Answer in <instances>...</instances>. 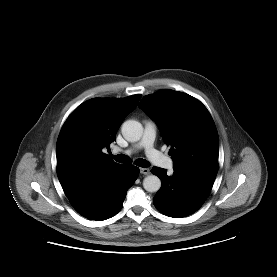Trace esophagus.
<instances>
[{"label":"esophagus","instance_id":"1","mask_svg":"<svg viewBox=\"0 0 277 277\" xmlns=\"http://www.w3.org/2000/svg\"><path fill=\"white\" fill-rule=\"evenodd\" d=\"M140 173H142L144 175H148V174H150V170H149V168H140Z\"/></svg>","mask_w":277,"mask_h":277}]
</instances>
